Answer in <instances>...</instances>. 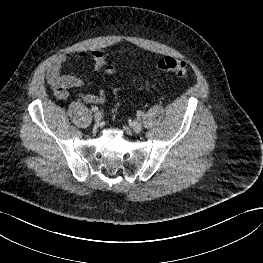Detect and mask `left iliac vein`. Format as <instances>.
I'll use <instances>...</instances> for the list:
<instances>
[{
    "label": "left iliac vein",
    "mask_w": 263,
    "mask_h": 263,
    "mask_svg": "<svg viewBox=\"0 0 263 263\" xmlns=\"http://www.w3.org/2000/svg\"><path fill=\"white\" fill-rule=\"evenodd\" d=\"M131 128L134 132L139 133L142 130V125L139 121H134L131 124Z\"/></svg>",
    "instance_id": "left-iliac-vein-1"
}]
</instances>
